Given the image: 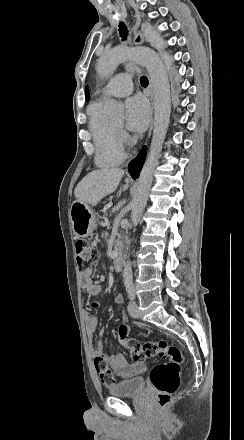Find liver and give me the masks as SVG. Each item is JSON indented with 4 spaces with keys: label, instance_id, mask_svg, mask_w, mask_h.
<instances>
[{
    "label": "liver",
    "instance_id": "liver-1",
    "mask_svg": "<svg viewBox=\"0 0 244 440\" xmlns=\"http://www.w3.org/2000/svg\"><path fill=\"white\" fill-rule=\"evenodd\" d=\"M124 170L120 168H100L89 172L74 190V196L79 202H85L90 206H96L102 198L115 192ZM122 190H119L117 196H120Z\"/></svg>",
    "mask_w": 244,
    "mask_h": 440
}]
</instances>
